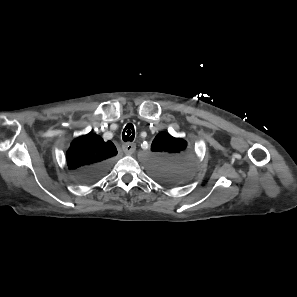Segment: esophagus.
<instances>
[{
	"instance_id": "1",
	"label": "esophagus",
	"mask_w": 297,
	"mask_h": 297,
	"mask_svg": "<svg viewBox=\"0 0 297 297\" xmlns=\"http://www.w3.org/2000/svg\"><path fill=\"white\" fill-rule=\"evenodd\" d=\"M122 149L123 151L125 152V154L127 155H131L134 153L135 149H136V146L134 143H124L122 145Z\"/></svg>"
}]
</instances>
